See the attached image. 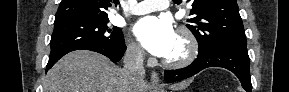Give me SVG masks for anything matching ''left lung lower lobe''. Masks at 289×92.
I'll use <instances>...</instances> for the list:
<instances>
[{
	"mask_svg": "<svg viewBox=\"0 0 289 92\" xmlns=\"http://www.w3.org/2000/svg\"><path fill=\"white\" fill-rule=\"evenodd\" d=\"M250 59L246 43L220 44L198 57L186 68L166 70L164 75L167 82L189 78L208 67H223L232 71L241 81L247 92H252L249 71Z\"/></svg>",
	"mask_w": 289,
	"mask_h": 92,
	"instance_id": "obj_1",
	"label": "left lung lower lobe"
}]
</instances>
